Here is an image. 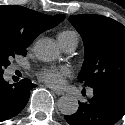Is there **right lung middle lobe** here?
<instances>
[{
	"label": "right lung middle lobe",
	"mask_w": 125,
	"mask_h": 125,
	"mask_svg": "<svg viewBox=\"0 0 125 125\" xmlns=\"http://www.w3.org/2000/svg\"><path fill=\"white\" fill-rule=\"evenodd\" d=\"M16 55H26L25 49H14L11 47L0 46V75L4 73V68L10 64V59Z\"/></svg>",
	"instance_id": "1"
}]
</instances>
